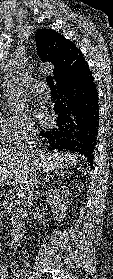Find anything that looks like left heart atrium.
<instances>
[{"label":"left heart atrium","instance_id":"left-heart-atrium-1","mask_svg":"<svg viewBox=\"0 0 113 279\" xmlns=\"http://www.w3.org/2000/svg\"><path fill=\"white\" fill-rule=\"evenodd\" d=\"M35 114H36V117L41 121L46 119L47 115H48L46 109L43 107L37 108L35 111Z\"/></svg>","mask_w":113,"mask_h":279}]
</instances>
